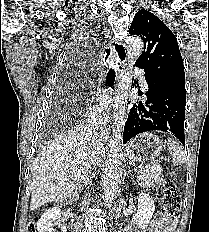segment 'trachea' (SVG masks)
I'll return each mask as SVG.
<instances>
[{
	"mask_svg": "<svg viewBox=\"0 0 209 232\" xmlns=\"http://www.w3.org/2000/svg\"><path fill=\"white\" fill-rule=\"evenodd\" d=\"M110 52H111L110 48L106 50L107 55H106L105 59H107L109 57ZM120 69H121V67H120ZM107 81H108V78H107Z\"/></svg>",
	"mask_w": 209,
	"mask_h": 232,
	"instance_id": "trachea-1",
	"label": "trachea"
}]
</instances>
